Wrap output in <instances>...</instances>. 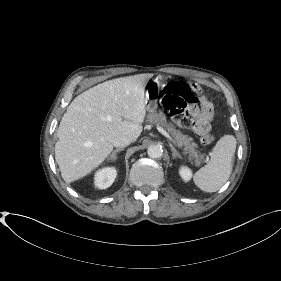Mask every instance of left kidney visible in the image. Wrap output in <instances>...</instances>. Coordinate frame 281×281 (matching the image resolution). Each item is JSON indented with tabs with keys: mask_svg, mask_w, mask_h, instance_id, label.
I'll return each mask as SVG.
<instances>
[{
	"mask_svg": "<svg viewBox=\"0 0 281 281\" xmlns=\"http://www.w3.org/2000/svg\"><path fill=\"white\" fill-rule=\"evenodd\" d=\"M179 174L182 177V179L186 182L189 181L191 179V176H192L191 170L186 166H182L180 168Z\"/></svg>",
	"mask_w": 281,
	"mask_h": 281,
	"instance_id": "1",
	"label": "left kidney"
}]
</instances>
